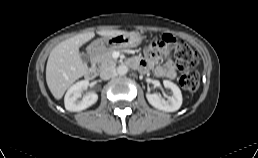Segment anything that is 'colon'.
<instances>
[{
    "mask_svg": "<svg viewBox=\"0 0 258 158\" xmlns=\"http://www.w3.org/2000/svg\"><path fill=\"white\" fill-rule=\"evenodd\" d=\"M172 46L174 49L175 60L177 67L182 70V74L179 78L180 85L187 91L193 92L197 90L199 86V76L192 69L198 62L199 58L197 54L188 45L174 40L169 35H162L155 38L151 47L160 49L165 46Z\"/></svg>",
    "mask_w": 258,
    "mask_h": 158,
    "instance_id": "1",
    "label": "colon"
}]
</instances>
